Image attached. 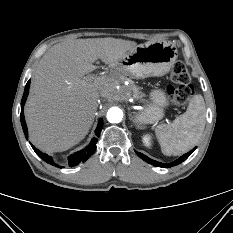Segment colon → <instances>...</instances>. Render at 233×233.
<instances>
[{"mask_svg": "<svg viewBox=\"0 0 233 233\" xmlns=\"http://www.w3.org/2000/svg\"><path fill=\"white\" fill-rule=\"evenodd\" d=\"M170 77L175 84L167 88L170 100L174 104L185 105L192 95L191 78L186 66L180 61L176 62L172 67Z\"/></svg>", "mask_w": 233, "mask_h": 233, "instance_id": "1", "label": "colon"}]
</instances>
